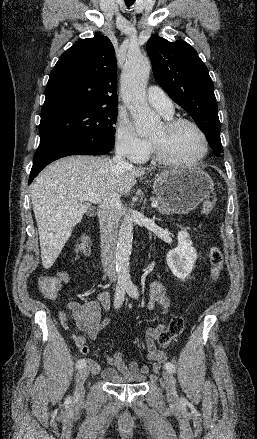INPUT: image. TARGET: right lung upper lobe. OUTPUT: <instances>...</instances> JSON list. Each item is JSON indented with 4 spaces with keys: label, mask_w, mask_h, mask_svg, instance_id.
Segmentation results:
<instances>
[{
    "label": "right lung upper lobe",
    "mask_w": 257,
    "mask_h": 439,
    "mask_svg": "<svg viewBox=\"0 0 257 439\" xmlns=\"http://www.w3.org/2000/svg\"><path fill=\"white\" fill-rule=\"evenodd\" d=\"M117 65L111 41L100 35L76 42L50 73L41 118L88 107H115Z\"/></svg>",
    "instance_id": "cb5924a9"
}]
</instances>
